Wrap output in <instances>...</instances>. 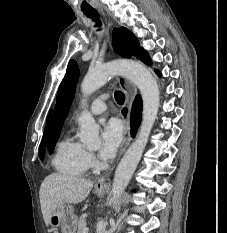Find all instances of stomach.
<instances>
[{
    "label": "stomach",
    "instance_id": "1",
    "mask_svg": "<svg viewBox=\"0 0 227 233\" xmlns=\"http://www.w3.org/2000/svg\"><path fill=\"white\" fill-rule=\"evenodd\" d=\"M95 192L98 196H103L106 192V188H95ZM50 225L53 228L60 227L62 233H75L77 228V217L74 214V208L72 205H64L62 209L58 210L51 216Z\"/></svg>",
    "mask_w": 227,
    "mask_h": 233
}]
</instances>
